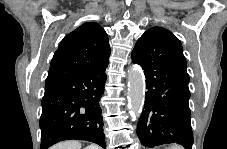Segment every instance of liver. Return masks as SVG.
<instances>
[{"instance_id": "obj_1", "label": "liver", "mask_w": 227, "mask_h": 149, "mask_svg": "<svg viewBox=\"0 0 227 149\" xmlns=\"http://www.w3.org/2000/svg\"><path fill=\"white\" fill-rule=\"evenodd\" d=\"M96 149H100L95 145ZM51 149H81V143L79 141H64L52 146Z\"/></svg>"}]
</instances>
